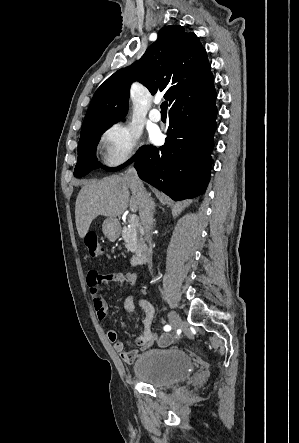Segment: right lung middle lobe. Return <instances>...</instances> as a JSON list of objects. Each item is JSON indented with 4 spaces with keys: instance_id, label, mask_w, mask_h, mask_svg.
I'll use <instances>...</instances> for the list:
<instances>
[{
    "instance_id": "dd1d6c3e",
    "label": "right lung middle lobe",
    "mask_w": 299,
    "mask_h": 443,
    "mask_svg": "<svg viewBox=\"0 0 299 443\" xmlns=\"http://www.w3.org/2000/svg\"><path fill=\"white\" fill-rule=\"evenodd\" d=\"M114 124V123H113ZM112 124L94 129L80 137L78 144V161L74 170L75 177H83L87 175L90 171L97 168H103L106 171H117L125 166L132 163L138 156L144 146H142L135 156L128 160L126 163L122 164L117 168H108L103 166L100 162L97 161L95 157L96 146L100 140L101 135L111 126Z\"/></svg>"
}]
</instances>
